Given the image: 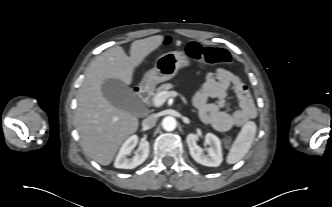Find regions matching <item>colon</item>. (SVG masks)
Segmentation results:
<instances>
[{
	"label": "colon",
	"instance_id": "colon-1",
	"mask_svg": "<svg viewBox=\"0 0 332 207\" xmlns=\"http://www.w3.org/2000/svg\"><path fill=\"white\" fill-rule=\"evenodd\" d=\"M186 53L189 57L208 64H223L229 65L231 57L229 53L221 48L203 47L197 42H190L186 47ZM232 139L226 137L224 144L229 146Z\"/></svg>",
	"mask_w": 332,
	"mask_h": 207
}]
</instances>
